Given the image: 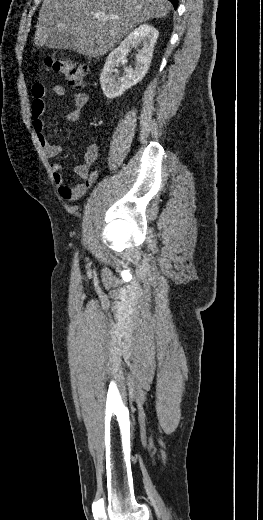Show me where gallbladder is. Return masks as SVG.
<instances>
[{
  "mask_svg": "<svg viewBox=\"0 0 263 520\" xmlns=\"http://www.w3.org/2000/svg\"><path fill=\"white\" fill-rule=\"evenodd\" d=\"M72 40V35H66L57 32L53 36L49 37L48 47L55 49H71Z\"/></svg>",
  "mask_w": 263,
  "mask_h": 520,
  "instance_id": "obj_1",
  "label": "gallbladder"
}]
</instances>
